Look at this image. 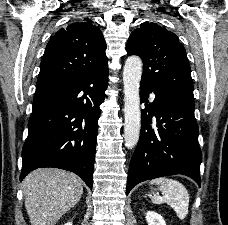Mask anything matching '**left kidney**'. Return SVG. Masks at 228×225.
<instances>
[{
	"instance_id": "obj_1",
	"label": "left kidney",
	"mask_w": 228,
	"mask_h": 225,
	"mask_svg": "<svg viewBox=\"0 0 228 225\" xmlns=\"http://www.w3.org/2000/svg\"><path fill=\"white\" fill-rule=\"evenodd\" d=\"M146 221L148 225H165V221L161 215L155 213V211H147Z\"/></svg>"
}]
</instances>
